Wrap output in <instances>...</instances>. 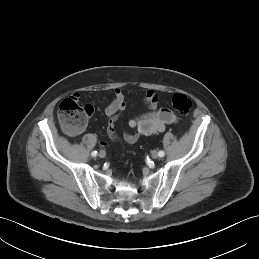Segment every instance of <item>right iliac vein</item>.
<instances>
[{
    "label": "right iliac vein",
    "mask_w": 259,
    "mask_h": 259,
    "mask_svg": "<svg viewBox=\"0 0 259 259\" xmlns=\"http://www.w3.org/2000/svg\"><path fill=\"white\" fill-rule=\"evenodd\" d=\"M99 157L100 158H104L106 156V152L101 150L99 153H98Z\"/></svg>",
    "instance_id": "right-iliac-vein-1"
}]
</instances>
